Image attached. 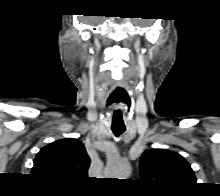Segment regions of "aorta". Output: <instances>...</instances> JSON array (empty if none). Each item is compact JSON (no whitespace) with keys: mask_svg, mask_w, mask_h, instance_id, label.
Wrapping results in <instances>:
<instances>
[{"mask_svg":"<svg viewBox=\"0 0 220 196\" xmlns=\"http://www.w3.org/2000/svg\"><path fill=\"white\" fill-rule=\"evenodd\" d=\"M131 172L130 164L123 160L108 162L105 175L110 178L127 179Z\"/></svg>","mask_w":220,"mask_h":196,"instance_id":"obj_1","label":"aorta"}]
</instances>
